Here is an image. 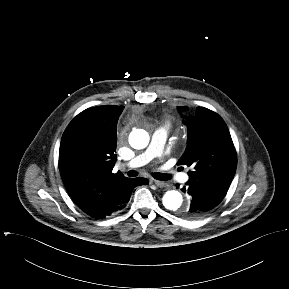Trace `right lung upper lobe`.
I'll return each instance as SVG.
<instances>
[{
  "mask_svg": "<svg viewBox=\"0 0 289 289\" xmlns=\"http://www.w3.org/2000/svg\"><path fill=\"white\" fill-rule=\"evenodd\" d=\"M123 106L105 105L78 114L63 133L59 169L73 201L88 215L115 213L131 180L112 173L117 160L116 126Z\"/></svg>",
  "mask_w": 289,
  "mask_h": 289,
  "instance_id": "right-lung-upper-lobe-1",
  "label": "right lung upper lobe"
}]
</instances>
